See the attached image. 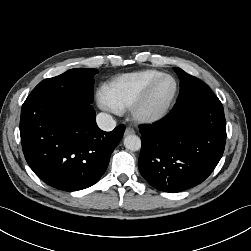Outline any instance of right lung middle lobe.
Returning <instances> with one entry per match:
<instances>
[{"label":"right lung middle lobe","instance_id":"dd1d6c3e","mask_svg":"<svg viewBox=\"0 0 251 251\" xmlns=\"http://www.w3.org/2000/svg\"><path fill=\"white\" fill-rule=\"evenodd\" d=\"M97 73V69L74 68L41 81L30 95H48L91 104L94 98V75Z\"/></svg>","mask_w":251,"mask_h":251}]
</instances>
